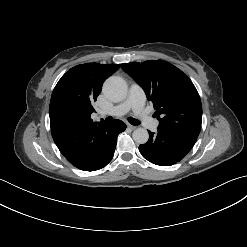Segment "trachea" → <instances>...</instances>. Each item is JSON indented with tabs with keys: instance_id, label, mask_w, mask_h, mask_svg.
Segmentation results:
<instances>
[{
	"instance_id": "trachea-1",
	"label": "trachea",
	"mask_w": 247,
	"mask_h": 247,
	"mask_svg": "<svg viewBox=\"0 0 247 247\" xmlns=\"http://www.w3.org/2000/svg\"><path fill=\"white\" fill-rule=\"evenodd\" d=\"M106 120L108 122H110L112 120V117H107ZM128 121L132 124V125H138L139 124V121L137 119H134V118H128Z\"/></svg>"
}]
</instances>
